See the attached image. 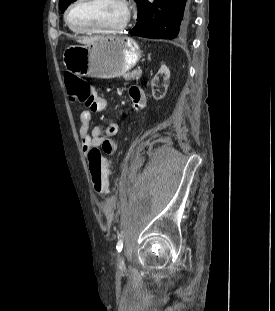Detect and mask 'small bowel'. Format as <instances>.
Listing matches in <instances>:
<instances>
[{"label":"small bowel","mask_w":275,"mask_h":311,"mask_svg":"<svg viewBox=\"0 0 275 311\" xmlns=\"http://www.w3.org/2000/svg\"><path fill=\"white\" fill-rule=\"evenodd\" d=\"M129 97L136 107H141L144 99L143 90L138 86L129 88ZM82 110L79 115L80 142L86 157L95 147H100L104 153L114 155L117 151L115 136L118 132V125L115 122L107 124L105 127H90L92 112H99L105 108L103 99H95Z\"/></svg>","instance_id":"obj_1"}]
</instances>
